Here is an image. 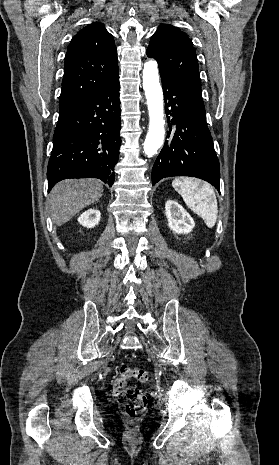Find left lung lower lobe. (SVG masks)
<instances>
[{
	"instance_id": "obj_1",
	"label": "left lung lower lobe",
	"mask_w": 279,
	"mask_h": 465,
	"mask_svg": "<svg viewBox=\"0 0 279 465\" xmlns=\"http://www.w3.org/2000/svg\"><path fill=\"white\" fill-rule=\"evenodd\" d=\"M169 122L167 140L152 169V184L170 176H192L211 183L218 191L220 170L205 107L194 96L161 76ZM175 125V127H173Z\"/></svg>"
}]
</instances>
